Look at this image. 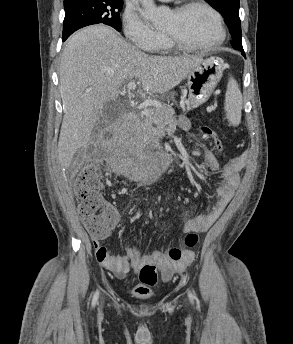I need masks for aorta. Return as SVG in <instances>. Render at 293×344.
<instances>
[{"instance_id":"aorta-1","label":"aorta","mask_w":293,"mask_h":344,"mask_svg":"<svg viewBox=\"0 0 293 344\" xmlns=\"http://www.w3.org/2000/svg\"><path fill=\"white\" fill-rule=\"evenodd\" d=\"M143 10L141 12L142 17L153 23L155 26H159L163 23L167 8L166 7H157L153 0H140ZM153 166L155 169L160 170L163 167V162L159 159L153 161Z\"/></svg>"}]
</instances>
